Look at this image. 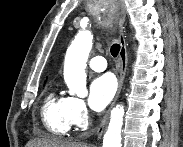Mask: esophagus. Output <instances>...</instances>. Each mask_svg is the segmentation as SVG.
Returning <instances> with one entry per match:
<instances>
[{
  "mask_svg": "<svg viewBox=\"0 0 183 147\" xmlns=\"http://www.w3.org/2000/svg\"><path fill=\"white\" fill-rule=\"evenodd\" d=\"M124 19H125V10L124 7L122 6V20L120 22V34H119V42H120V51H119V77H118V89H117V93L116 96L112 102L113 106L120 94L123 82H124V78H125V74H126V69H127V48H126V40H125V34H124ZM108 116H109V111L105 114L104 118L102 119L98 129H97V138L100 139L103 132H104V128L106 125V122L108 120Z\"/></svg>",
  "mask_w": 183,
  "mask_h": 147,
  "instance_id": "obj_1",
  "label": "esophagus"
}]
</instances>
